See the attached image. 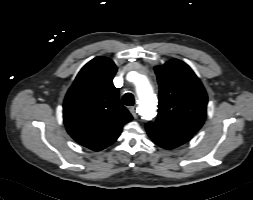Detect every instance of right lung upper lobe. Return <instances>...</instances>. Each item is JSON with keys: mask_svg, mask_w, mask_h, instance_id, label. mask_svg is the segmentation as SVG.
<instances>
[{"mask_svg": "<svg viewBox=\"0 0 253 200\" xmlns=\"http://www.w3.org/2000/svg\"><path fill=\"white\" fill-rule=\"evenodd\" d=\"M116 71L109 58H94L80 70L64 100L63 119L68 133L94 151L114 143L123 125L132 120L113 85Z\"/></svg>", "mask_w": 253, "mask_h": 200, "instance_id": "obj_1", "label": "right lung upper lobe"}]
</instances>
